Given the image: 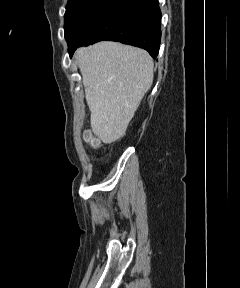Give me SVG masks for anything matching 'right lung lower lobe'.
Listing matches in <instances>:
<instances>
[{
	"label": "right lung lower lobe",
	"mask_w": 240,
	"mask_h": 288,
	"mask_svg": "<svg viewBox=\"0 0 240 288\" xmlns=\"http://www.w3.org/2000/svg\"><path fill=\"white\" fill-rule=\"evenodd\" d=\"M158 0H117L92 26L82 41L69 46L70 56L83 45L112 40L143 48L156 58L161 40Z\"/></svg>",
	"instance_id": "98d812e1"
}]
</instances>
